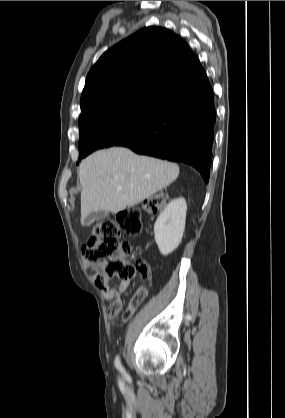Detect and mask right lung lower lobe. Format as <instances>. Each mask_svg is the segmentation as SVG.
<instances>
[{
    "mask_svg": "<svg viewBox=\"0 0 285 418\" xmlns=\"http://www.w3.org/2000/svg\"><path fill=\"white\" fill-rule=\"evenodd\" d=\"M216 108L208 81L166 105L147 127L115 146L196 168L209 181Z\"/></svg>",
    "mask_w": 285,
    "mask_h": 418,
    "instance_id": "obj_1",
    "label": "right lung lower lobe"
}]
</instances>
